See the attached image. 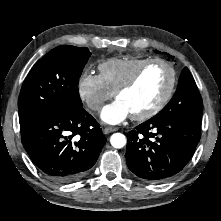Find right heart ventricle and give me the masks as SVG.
Returning <instances> with one entry per match:
<instances>
[{"label": "right heart ventricle", "mask_w": 221, "mask_h": 221, "mask_svg": "<svg viewBox=\"0 0 221 221\" xmlns=\"http://www.w3.org/2000/svg\"><path fill=\"white\" fill-rule=\"evenodd\" d=\"M146 60L148 59L140 57L111 58L105 60L98 66L99 76L104 84L112 92H115L117 87L128 79Z\"/></svg>", "instance_id": "obj_1"}]
</instances>
